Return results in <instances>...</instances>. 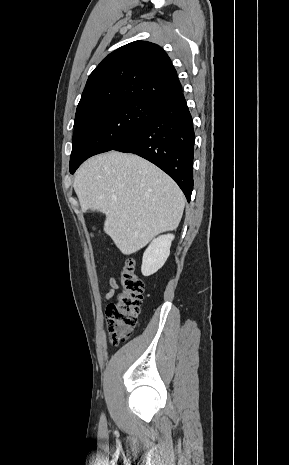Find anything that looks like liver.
Segmentation results:
<instances>
[{"mask_svg": "<svg viewBox=\"0 0 289 465\" xmlns=\"http://www.w3.org/2000/svg\"><path fill=\"white\" fill-rule=\"evenodd\" d=\"M82 212L106 215L104 232L130 255L162 232L175 230L185 198L178 185L158 167L133 154L111 151L91 157L74 181Z\"/></svg>", "mask_w": 289, "mask_h": 465, "instance_id": "obj_1", "label": "liver"}]
</instances>
